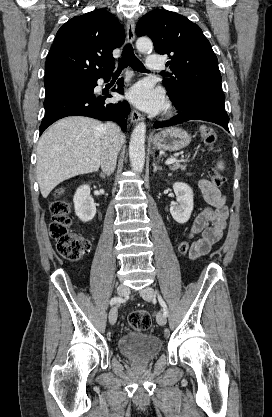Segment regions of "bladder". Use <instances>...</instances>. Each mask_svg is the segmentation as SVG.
<instances>
[{"label": "bladder", "mask_w": 272, "mask_h": 417, "mask_svg": "<svg viewBox=\"0 0 272 417\" xmlns=\"http://www.w3.org/2000/svg\"><path fill=\"white\" fill-rule=\"evenodd\" d=\"M120 353L130 361L145 363L153 360L162 348L161 340L151 334L129 332L118 341Z\"/></svg>", "instance_id": "bladder-1"}]
</instances>
